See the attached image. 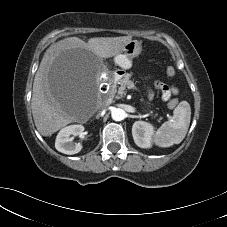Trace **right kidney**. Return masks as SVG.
<instances>
[{
  "mask_svg": "<svg viewBox=\"0 0 227 227\" xmlns=\"http://www.w3.org/2000/svg\"><path fill=\"white\" fill-rule=\"evenodd\" d=\"M83 125H69L60 130L55 140V148L64 154L73 155L81 151V143H73L76 136H83Z\"/></svg>",
  "mask_w": 227,
  "mask_h": 227,
  "instance_id": "ca27d5eb",
  "label": "right kidney"
}]
</instances>
